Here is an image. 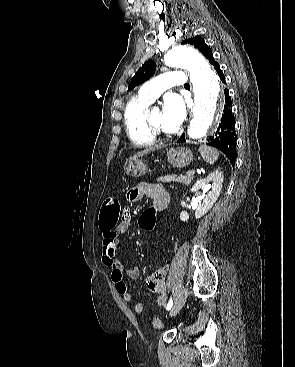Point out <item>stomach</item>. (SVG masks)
Listing matches in <instances>:
<instances>
[{
    "label": "stomach",
    "mask_w": 295,
    "mask_h": 367,
    "mask_svg": "<svg viewBox=\"0 0 295 367\" xmlns=\"http://www.w3.org/2000/svg\"><path fill=\"white\" fill-rule=\"evenodd\" d=\"M167 159L169 164H171L173 167L183 168L192 162L193 153L188 148H172L167 152ZM124 171L128 176L136 178L143 176L147 171V167L139 160H131L125 165Z\"/></svg>",
    "instance_id": "obj_1"
}]
</instances>
